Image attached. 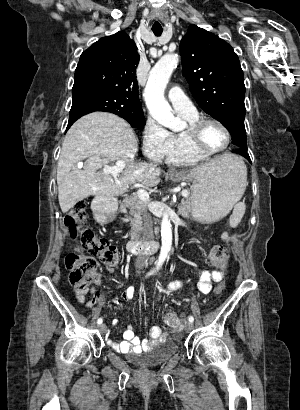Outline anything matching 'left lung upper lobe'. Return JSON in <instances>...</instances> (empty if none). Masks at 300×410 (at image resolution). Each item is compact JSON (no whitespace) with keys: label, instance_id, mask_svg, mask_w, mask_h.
<instances>
[{"label":"left lung upper lobe","instance_id":"1","mask_svg":"<svg viewBox=\"0 0 300 410\" xmlns=\"http://www.w3.org/2000/svg\"><path fill=\"white\" fill-rule=\"evenodd\" d=\"M182 72L199 106L247 150L244 75L237 54L223 39L190 25L180 42Z\"/></svg>","mask_w":300,"mask_h":410}]
</instances>
